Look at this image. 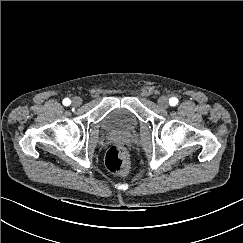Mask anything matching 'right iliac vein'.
Returning <instances> with one entry per match:
<instances>
[{
	"mask_svg": "<svg viewBox=\"0 0 243 243\" xmlns=\"http://www.w3.org/2000/svg\"><path fill=\"white\" fill-rule=\"evenodd\" d=\"M82 104V99L80 98V97H74L73 99H72V105L74 106V107H78V106H80Z\"/></svg>",
	"mask_w": 243,
	"mask_h": 243,
	"instance_id": "63e3f726",
	"label": "right iliac vein"
}]
</instances>
